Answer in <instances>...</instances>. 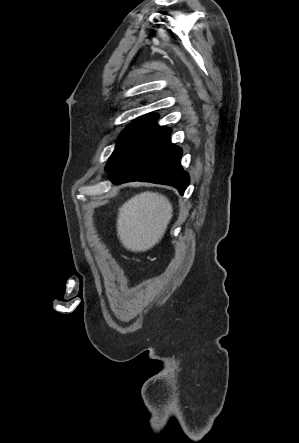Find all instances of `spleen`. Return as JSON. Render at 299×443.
Returning a JSON list of instances; mask_svg holds the SVG:
<instances>
[{
	"label": "spleen",
	"mask_w": 299,
	"mask_h": 443,
	"mask_svg": "<svg viewBox=\"0 0 299 443\" xmlns=\"http://www.w3.org/2000/svg\"><path fill=\"white\" fill-rule=\"evenodd\" d=\"M171 217L172 205L164 196L150 192L136 195L119 209L118 235L129 249H148L161 238Z\"/></svg>",
	"instance_id": "spleen-1"
}]
</instances>
